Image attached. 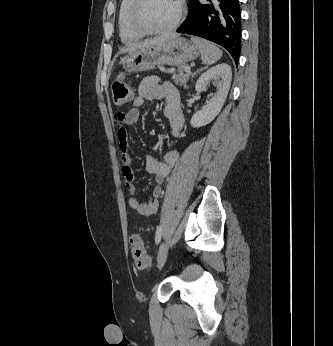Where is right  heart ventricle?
<instances>
[{
	"mask_svg": "<svg viewBox=\"0 0 333 346\" xmlns=\"http://www.w3.org/2000/svg\"><path fill=\"white\" fill-rule=\"evenodd\" d=\"M135 0H121L118 17L117 28L120 39L125 44L137 42L143 37V34L135 30L130 21L131 10Z\"/></svg>",
	"mask_w": 333,
	"mask_h": 346,
	"instance_id": "right-heart-ventricle-1",
	"label": "right heart ventricle"
}]
</instances>
